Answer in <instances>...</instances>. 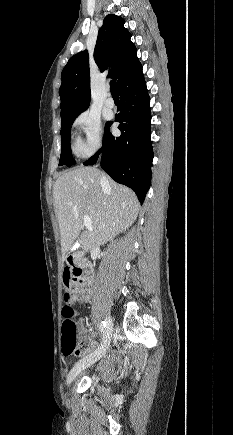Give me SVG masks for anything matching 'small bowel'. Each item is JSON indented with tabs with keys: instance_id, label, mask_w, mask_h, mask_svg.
Segmentation results:
<instances>
[{
	"instance_id": "obj_1",
	"label": "small bowel",
	"mask_w": 233,
	"mask_h": 435,
	"mask_svg": "<svg viewBox=\"0 0 233 435\" xmlns=\"http://www.w3.org/2000/svg\"><path fill=\"white\" fill-rule=\"evenodd\" d=\"M63 296L64 298H73L75 297V293L72 290H66L64 291ZM78 328H79L78 343L80 346L85 348V352L83 354H87L94 348L95 342L92 340L91 333L86 327L85 322L83 320H80L78 322ZM116 360H117L116 355L109 356L105 361V363L103 364V367L106 368V366H108L110 363L115 362Z\"/></svg>"
}]
</instances>
